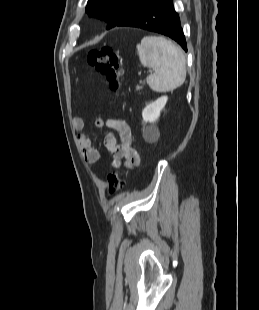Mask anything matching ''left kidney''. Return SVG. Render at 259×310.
Returning a JSON list of instances; mask_svg holds the SVG:
<instances>
[{
    "label": "left kidney",
    "mask_w": 259,
    "mask_h": 310,
    "mask_svg": "<svg viewBox=\"0 0 259 310\" xmlns=\"http://www.w3.org/2000/svg\"><path fill=\"white\" fill-rule=\"evenodd\" d=\"M167 100V96H162L156 101L148 104L142 111L143 121L154 123L159 118L160 112L165 107ZM144 137L147 138V130L144 131Z\"/></svg>",
    "instance_id": "left-kidney-1"
}]
</instances>
